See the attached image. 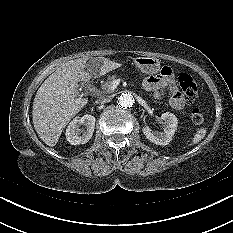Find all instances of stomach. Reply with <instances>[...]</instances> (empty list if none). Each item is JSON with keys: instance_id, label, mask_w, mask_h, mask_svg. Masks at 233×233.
<instances>
[{"instance_id": "1", "label": "stomach", "mask_w": 233, "mask_h": 233, "mask_svg": "<svg viewBox=\"0 0 233 233\" xmlns=\"http://www.w3.org/2000/svg\"><path fill=\"white\" fill-rule=\"evenodd\" d=\"M134 62L146 74H155L160 69V62L156 57H137Z\"/></svg>"}]
</instances>
